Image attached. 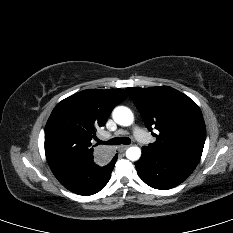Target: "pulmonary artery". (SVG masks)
I'll list each match as a JSON object with an SVG mask.
<instances>
[{"label":"pulmonary artery","instance_id":"obj_1","mask_svg":"<svg viewBox=\"0 0 233 233\" xmlns=\"http://www.w3.org/2000/svg\"><path fill=\"white\" fill-rule=\"evenodd\" d=\"M134 135L139 141H144L145 140V135L143 131L139 127L134 128ZM109 135L106 134L105 137H108Z\"/></svg>","mask_w":233,"mask_h":233}]
</instances>
